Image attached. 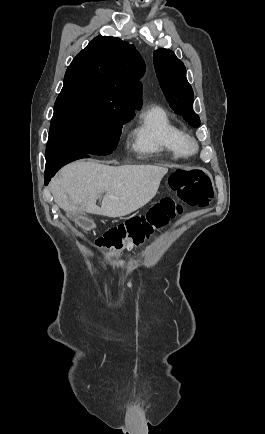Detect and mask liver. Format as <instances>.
<instances>
[{"instance_id": "6515ba94", "label": "liver", "mask_w": 265, "mask_h": 434, "mask_svg": "<svg viewBox=\"0 0 265 434\" xmlns=\"http://www.w3.org/2000/svg\"><path fill=\"white\" fill-rule=\"evenodd\" d=\"M167 168L160 166H103L79 160L62 168L51 182L54 202L67 216L98 214L121 218L148 204L157 194ZM105 192L102 206L96 200Z\"/></svg>"}]
</instances>
